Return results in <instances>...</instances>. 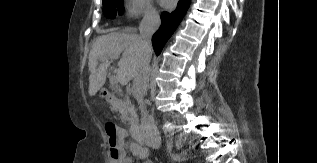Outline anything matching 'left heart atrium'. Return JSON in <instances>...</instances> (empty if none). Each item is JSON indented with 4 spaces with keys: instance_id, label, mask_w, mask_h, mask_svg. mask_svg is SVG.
I'll return each mask as SVG.
<instances>
[{
    "instance_id": "1",
    "label": "left heart atrium",
    "mask_w": 317,
    "mask_h": 163,
    "mask_svg": "<svg viewBox=\"0 0 317 163\" xmlns=\"http://www.w3.org/2000/svg\"><path fill=\"white\" fill-rule=\"evenodd\" d=\"M176 0H160L161 4L164 7H169L171 6Z\"/></svg>"
}]
</instances>
